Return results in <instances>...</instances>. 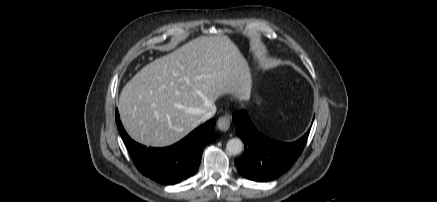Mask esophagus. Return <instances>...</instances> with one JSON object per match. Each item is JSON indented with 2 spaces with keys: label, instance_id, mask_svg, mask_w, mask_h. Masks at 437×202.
<instances>
[{
  "label": "esophagus",
  "instance_id": "1",
  "mask_svg": "<svg viewBox=\"0 0 437 202\" xmlns=\"http://www.w3.org/2000/svg\"><path fill=\"white\" fill-rule=\"evenodd\" d=\"M230 117L229 116H221L217 121V127L221 131H227L230 127Z\"/></svg>",
  "mask_w": 437,
  "mask_h": 202
}]
</instances>
